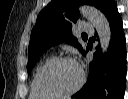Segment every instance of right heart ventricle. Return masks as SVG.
Returning <instances> with one entry per match:
<instances>
[{
	"mask_svg": "<svg viewBox=\"0 0 128 99\" xmlns=\"http://www.w3.org/2000/svg\"><path fill=\"white\" fill-rule=\"evenodd\" d=\"M54 59L53 57H49L47 58L35 71L32 81H31V86H30V98L31 99H46L45 97H49L46 95L41 94L37 89H36V75L38 70L41 68V66H43L44 64H46L47 62H49L50 60Z\"/></svg>",
	"mask_w": 128,
	"mask_h": 99,
	"instance_id": "obj_1",
	"label": "right heart ventricle"
}]
</instances>
